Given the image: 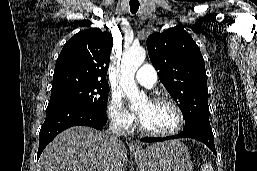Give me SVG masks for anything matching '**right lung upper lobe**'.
Listing matches in <instances>:
<instances>
[{
  "mask_svg": "<svg viewBox=\"0 0 257 171\" xmlns=\"http://www.w3.org/2000/svg\"><path fill=\"white\" fill-rule=\"evenodd\" d=\"M112 44V35L98 28L75 34L58 56L52 90L76 83H107Z\"/></svg>",
  "mask_w": 257,
  "mask_h": 171,
  "instance_id": "obj_1",
  "label": "right lung upper lobe"
}]
</instances>
